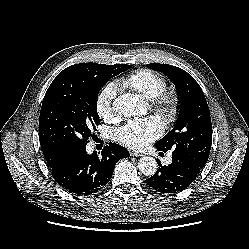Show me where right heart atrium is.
<instances>
[{
    "label": "right heart atrium",
    "mask_w": 249,
    "mask_h": 249,
    "mask_svg": "<svg viewBox=\"0 0 249 249\" xmlns=\"http://www.w3.org/2000/svg\"><path fill=\"white\" fill-rule=\"evenodd\" d=\"M117 88L114 83L106 84L99 92L96 99L97 115L104 121H111L114 116V100Z\"/></svg>",
    "instance_id": "right-heart-atrium-1"
}]
</instances>
